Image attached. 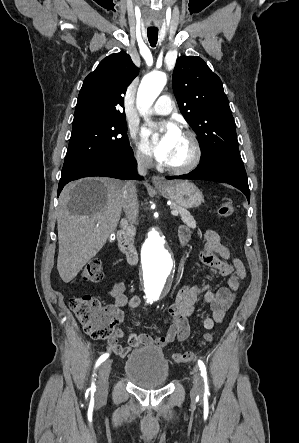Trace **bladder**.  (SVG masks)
<instances>
[{
	"label": "bladder",
	"instance_id": "obj_1",
	"mask_svg": "<svg viewBox=\"0 0 299 443\" xmlns=\"http://www.w3.org/2000/svg\"><path fill=\"white\" fill-rule=\"evenodd\" d=\"M124 373L136 386L155 389L166 384L170 367L162 350L144 347L134 350L126 358Z\"/></svg>",
	"mask_w": 299,
	"mask_h": 443
}]
</instances>
